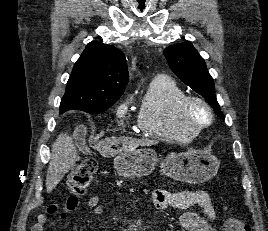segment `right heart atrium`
Listing matches in <instances>:
<instances>
[{"label": "right heart atrium", "mask_w": 268, "mask_h": 231, "mask_svg": "<svg viewBox=\"0 0 268 231\" xmlns=\"http://www.w3.org/2000/svg\"><path fill=\"white\" fill-rule=\"evenodd\" d=\"M127 111H128V101L124 100L118 105L116 109L117 118L123 121L126 116Z\"/></svg>", "instance_id": "obj_1"}]
</instances>
